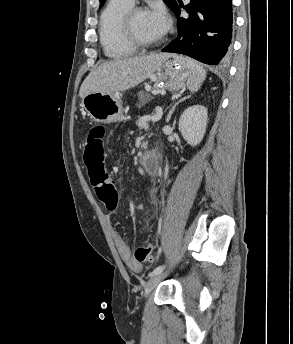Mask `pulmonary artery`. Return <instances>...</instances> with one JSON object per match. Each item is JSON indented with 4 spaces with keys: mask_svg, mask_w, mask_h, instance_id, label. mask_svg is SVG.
<instances>
[{
    "mask_svg": "<svg viewBox=\"0 0 293 344\" xmlns=\"http://www.w3.org/2000/svg\"><path fill=\"white\" fill-rule=\"evenodd\" d=\"M124 1H127L129 3H133L134 2V0H124Z\"/></svg>",
    "mask_w": 293,
    "mask_h": 344,
    "instance_id": "obj_1",
    "label": "pulmonary artery"
}]
</instances>
